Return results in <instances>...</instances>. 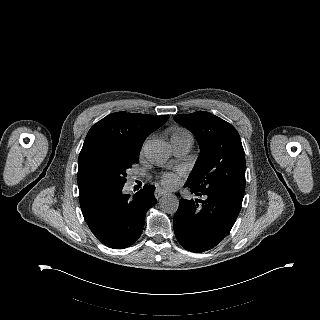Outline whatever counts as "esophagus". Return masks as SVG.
<instances>
[{"instance_id":"34e87169","label":"esophagus","mask_w":320,"mask_h":320,"mask_svg":"<svg viewBox=\"0 0 320 320\" xmlns=\"http://www.w3.org/2000/svg\"><path fill=\"white\" fill-rule=\"evenodd\" d=\"M167 190H165V189H163V188H157L156 190H155V197L156 198H160L161 196H163V195H165V194H167Z\"/></svg>"}]
</instances>
